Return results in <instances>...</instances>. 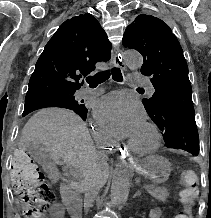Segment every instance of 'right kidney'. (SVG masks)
I'll list each match as a JSON object with an SVG mask.
<instances>
[{"instance_id":"obj_1","label":"right kidney","mask_w":211,"mask_h":218,"mask_svg":"<svg viewBox=\"0 0 211 218\" xmlns=\"http://www.w3.org/2000/svg\"><path fill=\"white\" fill-rule=\"evenodd\" d=\"M51 217L63 218V214H65V209H62L61 206H51Z\"/></svg>"}]
</instances>
